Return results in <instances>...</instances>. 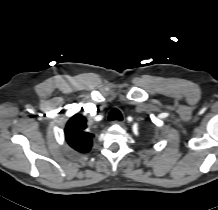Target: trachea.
<instances>
[{"mask_svg":"<svg viewBox=\"0 0 218 210\" xmlns=\"http://www.w3.org/2000/svg\"><path fill=\"white\" fill-rule=\"evenodd\" d=\"M108 118H109L110 121H114V120H120L121 121L122 120V114L118 109L114 108V109H112L110 111Z\"/></svg>","mask_w":218,"mask_h":210,"instance_id":"obj_1","label":"trachea"}]
</instances>
